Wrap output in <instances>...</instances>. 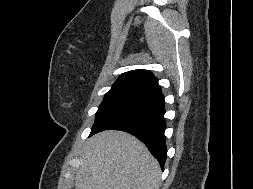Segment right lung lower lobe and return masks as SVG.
<instances>
[{"label": "right lung lower lobe", "mask_w": 253, "mask_h": 189, "mask_svg": "<svg viewBox=\"0 0 253 189\" xmlns=\"http://www.w3.org/2000/svg\"><path fill=\"white\" fill-rule=\"evenodd\" d=\"M164 113V96L159 89L104 118L92 127L90 136L103 130L129 132L147 146L164 170L167 154Z\"/></svg>", "instance_id": "98d812e1"}]
</instances>
